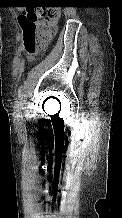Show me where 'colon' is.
<instances>
[{"label": "colon", "instance_id": "5ec220e1", "mask_svg": "<svg viewBox=\"0 0 122 218\" xmlns=\"http://www.w3.org/2000/svg\"><path fill=\"white\" fill-rule=\"evenodd\" d=\"M59 19L57 8L36 7L23 12V45L28 55H34L56 32Z\"/></svg>", "mask_w": 122, "mask_h": 218}]
</instances>
